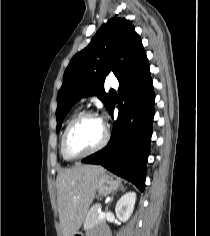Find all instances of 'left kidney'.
<instances>
[{"instance_id": "5707ae66", "label": "left kidney", "mask_w": 210, "mask_h": 236, "mask_svg": "<svg viewBox=\"0 0 210 236\" xmlns=\"http://www.w3.org/2000/svg\"><path fill=\"white\" fill-rule=\"evenodd\" d=\"M135 202L136 193L133 191L127 192L118 200L115 207V212L121 221H127L130 218L135 206Z\"/></svg>"}]
</instances>
